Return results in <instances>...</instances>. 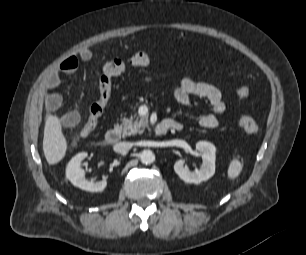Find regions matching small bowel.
I'll use <instances>...</instances> for the list:
<instances>
[{"label": "small bowel", "instance_id": "c3829d8e", "mask_svg": "<svg viewBox=\"0 0 306 255\" xmlns=\"http://www.w3.org/2000/svg\"><path fill=\"white\" fill-rule=\"evenodd\" d=\"M91 58L92 52L89 49H82L78 53V56L73 55L65 58L61 61L56 70L51 71L46 76L44 85L48 92L46 98L47 110L55 112L59 110L62 105L61 96L57 92L61 83L60 75L74 73L79 67V60L89 61ZM143 80L146 83H151L153 78L151 76H145ZM237 94L240 98H246L249 94L248 87H240ZM192 96L207 100L213 108V113H202L197 116L198 124L207 129L217 128L220 123L219 117L226 111V104L223 100L221 91L212 84L196 81L185 76L180 80L178 88L173 93L174 100L180 105L191 108ZM60 120L64 126L73 127L79 122V114L76 111H68L61 115Z\"/></svg>", "mask_w": 306, "mask_h": 255}]
</instances>
